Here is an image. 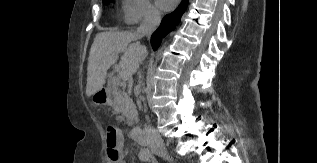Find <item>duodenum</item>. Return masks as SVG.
Masks as SVG:
<instances>
[{
  "instance_id": "410a0bca",
  "label": "duodenum",
  "mask_w": 317,
  "mask_h": 163,
  "mask_svg": "<svg viewBox=\"0 0 317 163\" xmlns=\"http://www.w3.org/2000/svg\"><path fill=\"white\" fill-rule=\"evenodd\" d=\"M131 136L138 144H140L141 146H146L145 135L141 128L134 126L131 129Z\"/></svg>"
}]
</instances>
